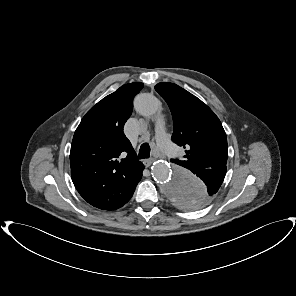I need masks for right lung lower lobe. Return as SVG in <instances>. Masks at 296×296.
I'll return each instance as SVG.
<instances>
[{
	"label": "right lung lower lobe",
	"instance_id": "obj_1",
	"mask_svg": "<svg viewBox=\"0 0 296 296\" xmlns=\"http://www.w3.org/2000/svg\"><path fill=\"white\" fill-rule=\"evenodd\" d=\"M144 169V166H142L140 168V170L138 171V174L136 175V184L140 181L141 177H142V171Z\"/></svg>",
	"mask_w": 296,
	"mask_h": 296
}]
</instances>
